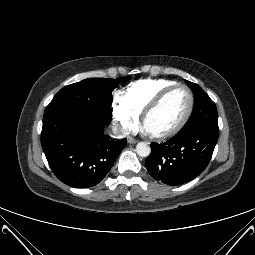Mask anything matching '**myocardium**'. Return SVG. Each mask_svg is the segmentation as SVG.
I'll return each mask as SVG.
<instances>
[{"mask_svg": "<svg viewBox=\"0 0 255 255\" xmlns=\"http://www.w3.org/2000/svg\"><path fill=\"white\" fill-rule=\"evenodd\" d=\"M185 89L188 94H189V106L188 109L184 115V117L180 120V122L174 126L173 128H171L168 131L165 132H161V133H152L146 130L145 124H146V120L149 117V115L151 113H153L160 105L161 103L164 101V99L173 91L177 90V89ZM194 103H195V99H194V94L192 92V90L184 85V84H175L173 86H170L166 89H164L163 91H161L143 110L142 112V117H141V123H142V127L146 130V132L148 133V135L153 138V139H157V140H165L168 139L174 135H176L188 122V120L190 119L193 109H194Z\"/></svg>", "mask_w": 255, "mask_h": 255, "instance_id": "obj_1", "label": "myocardium"}]
</instances>
